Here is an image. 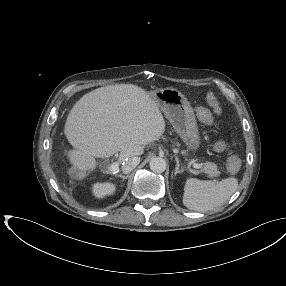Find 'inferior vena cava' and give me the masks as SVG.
<instances>
[{"label": "inferior vena cava", "mask_w": 286, "mask_h": 286, "mask_svg": "<svg viewBox=\"0 0 286 286\" xmlns=\"http://www.w3.org/2000/svg\"><path fill=\"white\" fill-rule=\"evenodd\" d=\"M139 163H140V157L138 156L126 158L123 161L122 165L123 173L125 174L130 173Z\"/></svg>", "instance_id": "inferior-vena-cava-1"}]
</instances>
